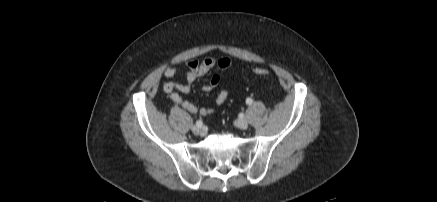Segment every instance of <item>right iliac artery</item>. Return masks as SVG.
Segmentation results:
<instances>
[{"instance_id":"right-iliac-artery-1","label":"right iliac artery","mask_w":437,"mask_h":202,"mask_svg":"<svg viewBox=\"0 0 437 202\" xmlns=\"http://www.w3.org/2000/svg\"><path fill=\"white\" fill-rule=\"evenodd\" d=\"M196 126H198V127H202V126H203V122H202L201 120H198V121L196 122Z\"/></svg>"}]
</instances>
